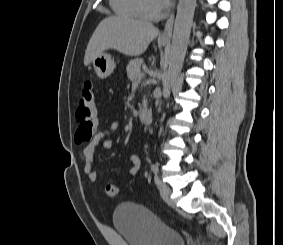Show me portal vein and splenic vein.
Wrapping results in <instances>:
<instances>
[{
  "mask_svg": "<svg viewBox=\"0 0 283 245\" xmlns=\"http://www.w3.org/2000/svg\"><path fill=\"white\" fill-rule=\"evenodd\" d=\"M143 77H144V74H141V75L138 77L137 82H140Z\"/></svg>",
  "mask_w": 283,
  "mask_h": 245,
  "instance_id": "1",
  "label": "portal vein and splenic vein"
}]
</instances>
